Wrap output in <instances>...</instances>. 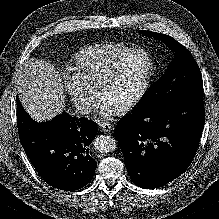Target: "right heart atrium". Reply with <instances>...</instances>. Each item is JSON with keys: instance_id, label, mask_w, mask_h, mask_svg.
<instances>
[{"instance_id": "obj_1", "label": "right heart atrium", "mask_w": 219, "mask_h": 219, "mask_svg": "<svg viewBox=\"0 0 219 219\" xmlns=\"http://www.w3.org/2000/svg\"><path fill=\"white\" fill-rule=\"evenodd\" d=\"M61 83L77 111L83 115L89 114L96 102V90L83 82L75 73L66 74Z\"/></svg>"}]
</instances>
